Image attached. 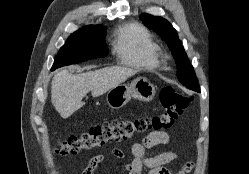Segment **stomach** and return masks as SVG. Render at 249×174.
Listing matches in <instances>:
<instances>
[{
    "label": "stomach",
    "instance_id": "1",
    "mask_svg": "<svg viewBox=\"0 0 249 174\" xmlns=\"http://www.w3.org/2000/svg\"><path fill=\"white\" fill-rule=\"evenodd\" d=\"M155 95V87L144 77L134 79L131 84H119L110 89L106 100L111 108H121L133 97L140 101H150Z\"/></svg>",
    "mask_w": 249,
    "mask_h": 174
}]
</instances>
